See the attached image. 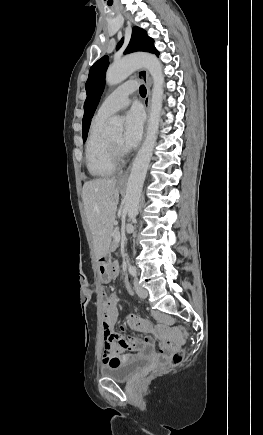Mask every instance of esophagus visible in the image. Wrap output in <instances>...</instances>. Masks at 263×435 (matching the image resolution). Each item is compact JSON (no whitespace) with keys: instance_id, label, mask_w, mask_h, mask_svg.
Instances as JSON below:
<instances>
[{"instance_id":"1","label":"esophagus","mask_w":263,"mask_h":435,"mask_svg":"<svg viewBox=\"0 0 263 435\" xmlns=\"http://www.w3.org/2000/svg\"><path fill=\"white\" fill-rule=\"evenodd\" d=\"M138 77L144 82L145 86H146V97L144 99V105L146 107V111H147V115L149 117V113H150V99H151V86H152V81L151 78L148 74V72L145 69H141L138 71ZM131 170V165L126 169V171L120 175L119 177V181L123 182L126 181L129 173Z\"/></svg>"}]
</instances>
